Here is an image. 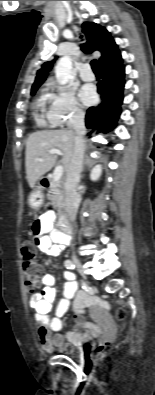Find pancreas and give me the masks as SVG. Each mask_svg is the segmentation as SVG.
I'll return each mask as SVG.
<instances>
[{
	"label": "pancreas",
	"mask_w": 155,
	"mask_h": 395,
	"mask_svg": "<svg viewBox=\"0 0 155 395\" xmlns=\"http://www.w3.org/2000/svg\"><path fill=\"white\" fill-rule=\"evenodd\" d=\"M48 198L52 201V205L57 208H63L64 189L60 181L50 179V188L48 189Z\"/></svg>",
	"instance_id": "cf45deb5"
}]
</instances>
